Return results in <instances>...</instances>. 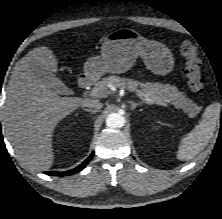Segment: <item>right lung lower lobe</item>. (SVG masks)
I'll list each match as a JSON object with an SVG mask.
<instances>
[{"instance_id":"1","label":"right lung lower lobe","mask_w":222,"mask_h":219,"mask_svg":"<svg viewBox=\"0 0 222 219\" xmlns=\"http://www.w3.org/2000/svg\"><path fill=\"white\" fill-rule=\"evenodd\" d=\"M93 155H94V152L82 164H80L79 166H77L76 168L72 170H68L64 172H44V173L47 175H54V176H68V175L75 174L85 168V166L90 161Z\"/></svg>"}]
</instances>
